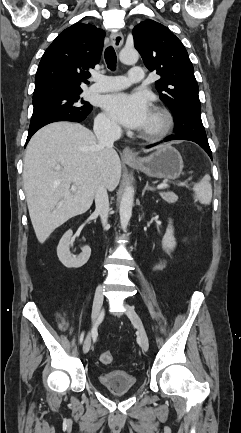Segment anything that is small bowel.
Wrapping results in <instances>:
<instances>
[{
    "mask_svg": "<svg viewBox=\"0 0 241 433\" xmlns=\"http://www.w3.org/2000/svg\"><path fill=\"white\" fill-rule=\"evenodd\" d=\"M164 268V263H159L155 266V270H162ZM56 319L60 328H64V320L59 313H56Z\"/></svg>",
    "mask_w": 241,
    "mask_h": 433,
    "instance_id": "small-bowel-1",
    "label": "small bowel"
}]
</instances>
